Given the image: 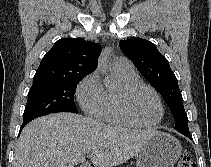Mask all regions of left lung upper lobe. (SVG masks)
Returning a JSON list of instances; mask_svg holds the SVG:
<instances>
[{
    "mask_svg": "<svg viewBox=\"0 0 211 167\" xmlns=\"http://www.w3.org/2000/svg\"><path fill=\"white\" fill-rule=\"evenodd\" d=\"M119 45L122 52L162 95L174 116L175 128L180 133L189 132L182 94L168 60L148 40H121Z\"/></svg>",
    "mask_w": 211,
    "mask_h": 167,
    "instance_id": "5c2ea615",
    "label": "left lung upper lobe"
}]
</instances>
